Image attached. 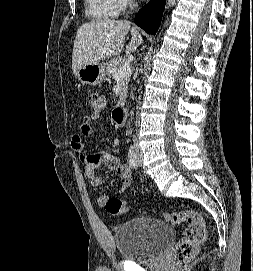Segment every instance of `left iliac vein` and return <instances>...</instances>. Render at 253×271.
I'll return each mask as SVG.
<instances>
[{
    "mask_svg": "<svg viewBox=\"0 0 253 271\" xmlns=\"http://www.w3.org/2000/svg\"><path fill=\"white\" fill-rule=\"evenodd\" d=\"M137 156H138V165H141V163H142V153H141V150L139 148L137 149Z\"/></svg>",
    "mask_w": 253,
    "mask_h": 271,
    "instance_id": "obj_1",
    "label": "left iliac vein"
}]
</instances>
